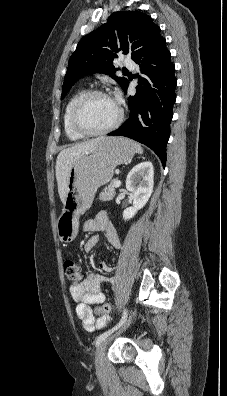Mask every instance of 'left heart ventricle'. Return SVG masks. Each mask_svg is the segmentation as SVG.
<instances>
[{"instance_id":"b2bd125f","label":"left heart ventricle","mask_w":227,"mask_h":396,"mask_svg":"<svg viewBox=\"0 0 227 396\" xmlns=\"http://www.w3.org/2000/svg\"><path fill=\"white\" fill-rule=\"evenodd\" d=\"M118 116V105L109 97L93 96L81 111L82 122L90 129H102L112 124Z\"/></svg>"}]
</instances>
